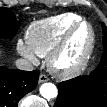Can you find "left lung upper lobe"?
<instances>
[{"mask_svg": "<svg viewBox=\"0 0 107 107\" xmlns=\"http://www.w3.org/2000/svg\"><path fill=\"white\" fill-rule=\"evenodd\" d=\"M102 28H103V46L105 49L103 55L107 56V27L105 26V24H102ZM106 67H107V63H106Z\"/></svg>", "mask_w": 107, "mask_h": 107, "instance_id": "obj_1", "label": "left lung upper lobe"}]
</instances>
